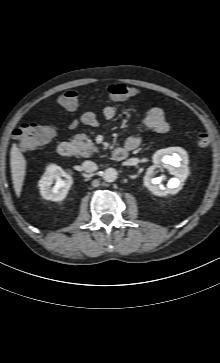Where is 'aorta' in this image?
Instances as JSON below:
<instances>
[{"mask_svg":"<svg viewBox=\"0 0 220 363\" xmlns=\"http://www.w3.org/2000/svg\"><path fill=\"white\" fill-rule=\"evenodd\" d=\"M118 173L114 168H107L103 173V179L106 182H114L117 179Z\"/></svg>","mask_w":220,"mask_h":363,"instance_id":"obj_1","label":"aorta"}]
</instances>
